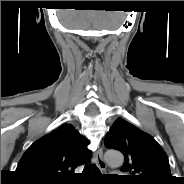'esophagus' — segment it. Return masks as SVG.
Here are the masks:
<instances>
[{
	"instance_id": "34e87169",
	"label": "esophagus",
	"mask_w": 184,
	"mask_h": 184,
	"mask_svg": "<svg viewBox=\"0 0 184 184\" xmlns=\"http://www.w3.org/2000/svg\"><path fill=\"white\" fill-rule=\"evenodd\" d=\"M94 161L96 163V165L98 166V168L101 171H105L107 168V165L103 159V151L101 148L97 149L96 152L94 153Z\"/></svg>"
}]
</instances>
